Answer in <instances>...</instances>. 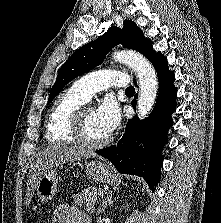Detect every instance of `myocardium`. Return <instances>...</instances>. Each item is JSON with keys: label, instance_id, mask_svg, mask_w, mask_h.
Listing matches in <instances>:
<instances>
[{"label": "myocardium", "instance_id": "myocardium-1", "mask_svg": "<svg viewBox=\"0 0 221 223\" xmlns=\"http://www.w3.org/2000/svg\"><path fill=\"white\" fill-rule=\"evenodd\" d=\"M87 108L79 107L73 117L70 125V134L73 139L82 147L88 149H97L108 145L111 141V136H107L100 141H90L85 136V110Z\"/></svg>", "mask_w": 221, "mask_h": 223}]
</instances>
